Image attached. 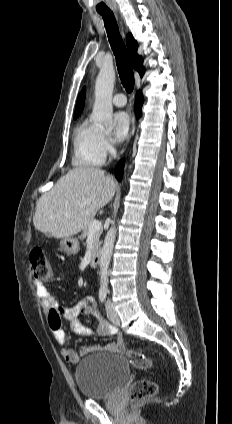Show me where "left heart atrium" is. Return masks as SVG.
<instances>
[{"label": "left heart atrium", "instance_id": "obj_1", "mask_svg": "<svg viewBox=\"0 0 232 424\" xmlns=\"http://www.w3.org/2000/svg\"><path fill=\"white\" fill-rule=\"evenodd\" d=\"M131 129V119L128 113L121 111L115 115V132L118 140L128 136Z\"/></svg>", "mask_w": 232, "mask_h": 424}]
</instances>
